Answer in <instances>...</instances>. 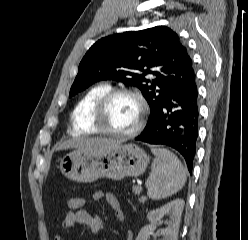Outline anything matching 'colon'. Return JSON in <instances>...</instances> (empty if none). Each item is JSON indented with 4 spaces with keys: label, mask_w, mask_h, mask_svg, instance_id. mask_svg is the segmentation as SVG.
<instances>
[{
    "label": "colon",
    "mask_w": 248,
    "mask_h": 240,
    "mask_svg": "<svg viewBox=\"0 0 248 240\" xmlns=\"http://www.w3.org/2000/svg\"><path fill=\"white\" fill-rule=\"evenodd\" d=\"M85 203L86 200L83 197L80 196L71 197L67 201V209L69 212H76L83 209Z\"/></svg>",
    "instance_id": "colon-1"
}]
</instances>
